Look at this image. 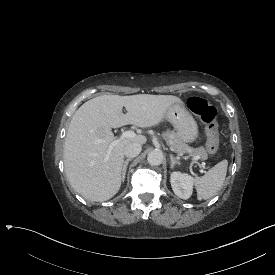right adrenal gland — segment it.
I'll list each match as a JSON object with an SVG mask.
<instances>
[{
	"mask_svg": "<svg viewBox=\"0 0 275 275\" xmlns=\"http://www.w3.org/2000/svg\"><path fill=\"white\" fill-rule=\"evenodd\" d=\"M132 158H128L124 161L123 166H122V182L125 181V175H126V170H127V166L129 161H132Z\"/></svg>",
	"mask_w": 275,
	"mask_h": 275,
	"instance_id": "2a0ac1e0",
	"label": "right adrenal gland"
}]
</instances>
